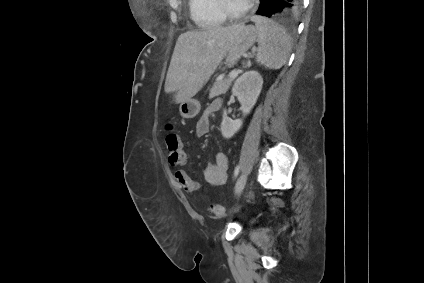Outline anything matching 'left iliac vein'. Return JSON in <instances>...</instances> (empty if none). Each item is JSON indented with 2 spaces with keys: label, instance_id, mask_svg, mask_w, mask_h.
<instances>
[{
  "label": "left iliac vein",
  "instance_id": "obj_1",
  "mask_svg": "<svg viewBox=\"0 0 424 283\" xmlns=\"http://www.w3.org/2000/svg\"><path fill=\"white\" fill-rule=\"evenodd\" d=\"M246 180H247L246 174L242 173L237 180V183H236V186H235V194L238 195L242 192V190L245 187Z\"/></svg>",
  "mask_w": 424,
  "mask_h": 283
}]
</instances>
